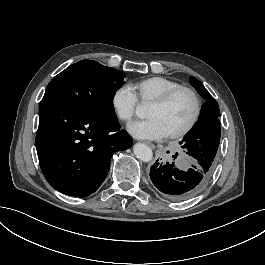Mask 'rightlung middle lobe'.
I'll list each match as a JSON object with an SVG mask.
<instances>
[{
	"label": "right lung middle lobe",
	"instance_id": "dd1d6c3e",
	"mask_svg": "<svg viewBox=\"0 0 265 265\" xmlns=\"http://www.w3.org/2000/svg\"><path fill=\"white\" fill-rule=\"evenodd\" d=\"M124 78L121 71L82 60L51 80L41 103H58L92 116L116 120L112 101Z\"/></svg>",
	"mask_w": 265,
	"mask_h": 265
}]
</instances>
